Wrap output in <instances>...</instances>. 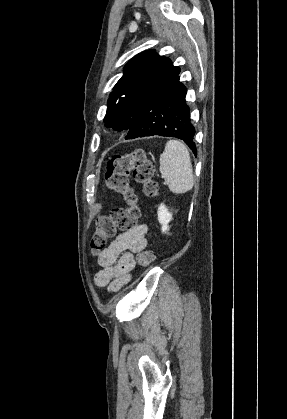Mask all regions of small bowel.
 Returning a JSON list of instances; mask_svg holds the SVG:
<instances>
[{
	"instance_id": "1",
	"label": "small bowel",
	"mask_w": 287,
	"mask_h": 419,
	"mask_svg": "<svg viewBox=\"0 0 287 419\" xmlns=\"http://www.w3.org/2000/svg\"><path fill=\"white\" fill-rule=\"evenodd\" d=\"M146 233L145 225H136L119 234L99 254L98 264L101 269L95 275L98 286L116 292L130 282L135 267L134 254L147 246Z\"/></svg>"
}]
</instances>
